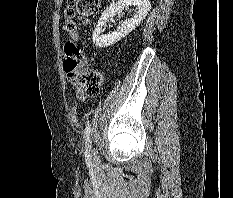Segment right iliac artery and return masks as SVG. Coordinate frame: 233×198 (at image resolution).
<instances>
[{
    "instance_id": "1",
    "label": "right iliac artery",
    "mask_w": 233,
    "mask_h": 198,
    "mask_svg": "<svg viewBox=\"0 0 233 198\" xmlns=\"http://www.w3.org/2000/svg\"><path fill=\"white\" fill-rule=\"evenodd\" d=\"M90 125H88L84 131V140H85V146L87 148V151H86V156L89 158V152L88 151H91V141H90Z\"/></svg>"
}]
</instances>
